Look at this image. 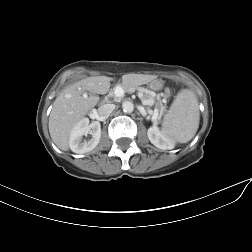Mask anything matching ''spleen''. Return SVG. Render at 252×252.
Masks as SVG:
<instances>
[{
  "label": "spleen",
  "mask_w": 252,
  "mask_h": 252,
  "mask_svg": "<svg viewBox=\"0 0 252 252\" xmlns=\"http://www.w3.org/2000/svg\"><path fill=\"white\" fill-rule=\"evenodd\" d=\"M200 113L197 97L192 90H181L162 122V130L179 143L190 141L199 127Z\"/></svg>",
  "instance_id": "1"
}]
</instances>
